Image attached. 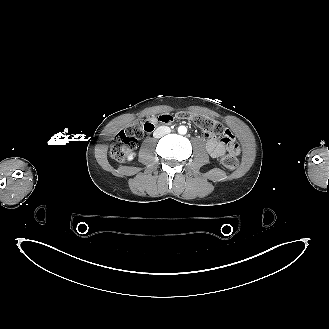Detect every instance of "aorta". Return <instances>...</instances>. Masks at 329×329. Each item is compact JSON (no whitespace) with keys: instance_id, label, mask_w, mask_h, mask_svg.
<instances>
[{"instance_id":"aorta-1","label":"aorta","mask_w":329,"mask_h":329,"mask_svg":"<svg viewBox=\"0 0 329 329\" xmlns=\"http://www.w3.org/2000/svg\"><path fill=\"white\" fill-rule=\"evenodd\" d=\"M178 133L184 135L187 133V128L185 126H179Z\"/></svg>"}]
</instances>
